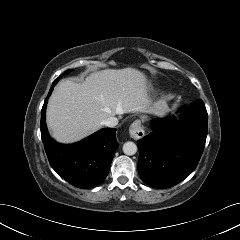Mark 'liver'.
I'll return each instance as SVG.
<instances>
[{"mask_svg":"<svg viewBox=\"0 0 240 240\" xmlns=\"http://www.w3.org/2000/svg\"><path fill=\"white\" fill-rule=\"evenodd\" d=\"M169 108L153 101L146 75L135 68L105 69L77 83L63 80L49 99L46 121L61 143H74L99 130L102 122L124 113L163 116Z\"/></svg>","mask_w":240,"mask_h":240,"instance_id":"obj_1","label":"liver"}]
</instances>
